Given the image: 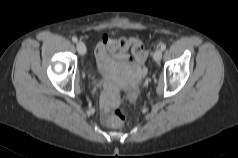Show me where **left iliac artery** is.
I'll list each match as a JSON object with an SVG mask.
<instances>
[{"label":"left iliac artery","mask_w":238,"mask_h":158,"mask_svg":"<svg viewBox=\"0 0 238 158\" xmlns=\"http://www.w3.org/2000/svg\"><path fill=\"white\" fill-rule=\"evenodd\" d=\"M166 49V44L161 45V50L164 51Z\"/></svg>","instance_id":"44dca946"}]
</instances>
